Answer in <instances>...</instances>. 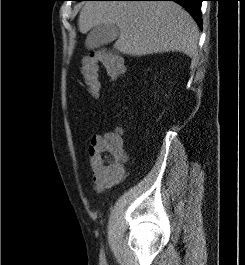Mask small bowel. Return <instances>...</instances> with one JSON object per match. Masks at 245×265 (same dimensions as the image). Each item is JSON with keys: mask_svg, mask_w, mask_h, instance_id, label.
Listing matches in <instances>:
<instances>
[{"mask_svg": "<svg viewBox=\"0 0 245 265\" xmlns=\"http://www.w3.org/2000/svg\"><path fill=\"white\" fill-rule=\"evenodd\" d=\"M106 135L93 136L91 138L90 145L88 148V154H89L90 163H91V182H92L93 189L97 193L105 192L106 190L112 188L118 182V179H109L93 167V156L95 152L97 151V149L100 147V145L103 143Z\"/></svg>", "mask_w": 245, "mask_h": 265, "instance_id": "obj_1", "label": "small bowel"}]
</instances>
